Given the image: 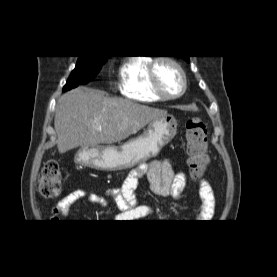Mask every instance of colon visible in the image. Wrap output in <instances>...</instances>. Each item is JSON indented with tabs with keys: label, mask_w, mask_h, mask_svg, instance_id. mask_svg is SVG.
<instances>
[{
	"label": "colon",
	"mask_w": 277,
	"mask_h": 277,
	"mask_svg": "<svg viewBox=\"0 0 277 277\" xmlns=\"http://www.w3.org/2000/svg\"><path fill=\"white\" fill-rule=\"evenodd\" d=\"M185 142L188 166L194 176L201 175L207 164V128L200 117H193L186 123ZM43 197L54 198L62 188V174L58 162L47 161L38 178Z\"/></svg>",
	"instance_id": "5ec220e1"
}]
</instances>
